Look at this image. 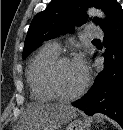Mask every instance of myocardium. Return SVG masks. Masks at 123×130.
<instances>
[{"mask_svg": "<svg viewBox=\"0 0 123 130\" xmlns=\"http://www.w3.org/2000/svg\"><path fill=\"white\" fill-rule=\"evenodd\" d=\"M65 61H70V58L66 55H60L52 62L49 67L48 82L50 89L52 90L57 99L62 101H71L80 97L86 91L90 83V78L88 75H86L83 85L77 91L72 93H65L61 89L58 82V69L61 63Z\"/></svg>", "mask_w": 123, "mask_h": 130, "instance_id": "myocardium-1", "label": "myocardium"}]
</instances>
